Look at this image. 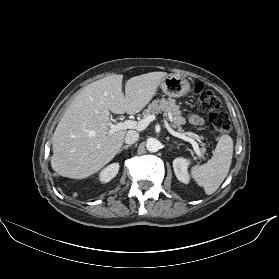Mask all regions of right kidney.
I'll list each match as a JSON object with an SVG mask.
<instances>
[{
    "mask_svg": "<svg viewBox=\"0 0 279 279\" xmlns=\"http://www.w3.org/2000/svg\"><path fill=\"white\" fill-rule=\"evenodd\" d=\"M119 163H112L108 165L106 168H104L100 173H99V180L102 183H107L111 179H113L118 171H119Z\"/></svg>",
    "mask_w": 279,
    "mask_h": 279,
    "instance_id": "obj_1",
    "label": "right kidney"
}]
</instances>
